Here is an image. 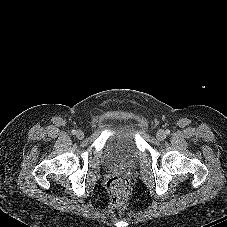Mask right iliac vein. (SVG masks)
<instances>
[{
    "instance_id": "1",
    "label": "right iliac vein",
    "mask_w": 227,
    "mask_h": 227,
    "mask_svg": "<svg viewBox=\"0 0 227 227\" xmlns=\"http://www.w3.org/2000/svg\"><path fill=\"white\" fill-rule=\"evenodd\" d=\"M76 137H77L78 139H83V138H84V132H83L82 130H78V131L76 132Z\"/></svg>"
}]
</instances>
